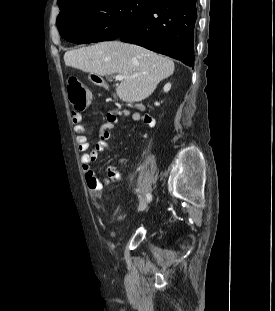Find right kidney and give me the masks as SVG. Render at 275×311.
<instances>
[{
  "label": "right kidney",
  "instance_id": "obj_1",
  "mask_svg": "<svg viewBox=\"0 0 275 311\" xmlns=\"http://www.w3.org/2000/svg\"><path fill=\"white\" fill-rule=\"evenodd\" d=\"M170 89H171V84H170V83H167V84L164 86L163 91H164V92H168ZM160 102L162 103L163 101L161 100Z\"/></svg>",
  "mask_w": 275,
  "mask_h": 311
}]
</instances>
